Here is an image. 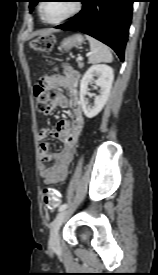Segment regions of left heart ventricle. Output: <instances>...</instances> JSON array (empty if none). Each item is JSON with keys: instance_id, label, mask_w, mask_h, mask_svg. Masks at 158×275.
Segmentation results:
<instances>
[{"instance_id": "left-heart-ventricle-1", "label": "left heart ventricle", "mask_w": 158, "mask_h": 275, "mask_svg": "<svg viewBox=\"0 0 158 275\" xmlns=\"http://www.w3.org/2000/svg\"><path fill=\"white\" fill-rule=\"evenodd\" d=\"M74 7V1L52 0L44 3L43 14L49 21H57L68 15Z\"/></svg>"}]
</instances>
